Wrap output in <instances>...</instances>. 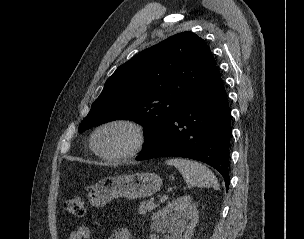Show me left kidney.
I'll list each match as a JSON object with an SVG mask.
<instances>
[{
	"label": "left kidney",
	"mask_w": 304,
	"mask_h": 239,
	"mask_svg": "<svg viewBox=\"0 0 304 239\" xmlns=\"http://www.w3.org/2000/svg\"><path fill=\"white\" fill-rule=\"evenodd\" d=\"M152 220L155 231L170 233L168 239H190L198 222V210L191 197L184 195L155 213Z\"/></svg>",
	"instance_id": "left-kidney-1"
}]
</instances>
